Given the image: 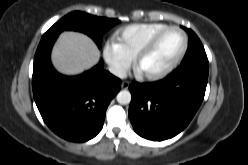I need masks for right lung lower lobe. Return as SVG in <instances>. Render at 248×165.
Listing matches in <instances>:
<instances>
[{
  "label": "right lung lower lobe",
  "instance_id": "1",
  "mask_svg": "<svg viewBox=\"0 0 248 165\" xmlns=\"http://www.w3.org/2000/svg\"><path fill=\"white\" fill-rule=\"evenodd\" d=\"M57 37L42 39L35 53L34 99L53 132L68 141L84 142L101 131L107 107L119 92L121 80L103 70L102 61L79 76L56 72L50 51Z\"/></svg>",
  "mask_w": 248,
  "mask_h": 165
}]
</instances>
